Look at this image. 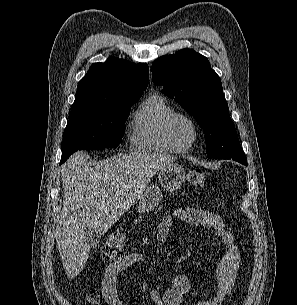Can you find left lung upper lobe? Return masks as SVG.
Masks as SVG:
<instances>
[{"instance_id": "left-lung-upper-lobe-1", "label": "left lung upper lobe", "mask_w": 297, "mask_h": 305, "mask_svg": "<svg viewBox=\"0 0 297 305\" xmlns=\"http://www.w3.org/2000/svg\"><path fill=\"white\" fill-rule=\"evenodd\" d=\"M152 78L203 129L209 158H232L246 164L221 80L206 57L191 49L162 56L152 64Z\"/></svg>"}]
</instances>
